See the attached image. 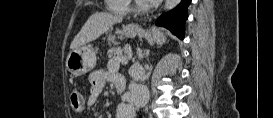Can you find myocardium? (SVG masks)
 I'll use <instances>...</instances> for the list:
<instances>
[{"mask_svg":"<svg viewBox=\"0 0 273 118\" xmlns=\"http://www.w3.org/2000/svg\"><path fill=\"white\" fill-rule=\"evenodd\" d=\"M132 10L137 12V13H143L146 12L148 10L147 5L142 4L138 1H132V6H131Z\"/></svg>","mask_w":273,"mask_h":118,"instance_id":"myocardium-1","label":"myocardium"}]
</instances>
